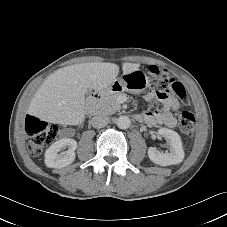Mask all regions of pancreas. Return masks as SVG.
I'll return each mask as SVG.
<instances>
[{
  "mask_svg": "<svg viewBox=\"0 0 227 227\" xmlns=\"http://www.w3.org/2000/svg\"><path fill=\"white\" fill-rule=\"evenodd\" d=\"M120 93H107L105 94L96 105V112L106 115L114 114L121 109V105L118 102Z\"/></svg>",
  "mask_w": 227,
  "mask_h": 227,
  "instance_id": "obj_1",
  "label": "pancreas"
}]
</instances>
